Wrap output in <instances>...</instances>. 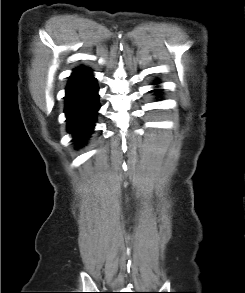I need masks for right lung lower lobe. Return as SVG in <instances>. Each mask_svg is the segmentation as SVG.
<instances>
[{
	"label": "right lung lower lobe",
	"instance_id": "obj_1",
	"mask_svg": "<svg viewBox=\"0 0 245 293\" xmlns=\"http://www.w3.org/2000/svg\"><path fill=\"white\" fill-rule=\"evenodd\" d=\"M98 86L90 69H85L70 77L66 88L65 114L67 130L73 135L77 146H81L92 134L96 122Z\"/></svg>",
	"mask_w": 245,
	"mask_h": 293
}]
</instances>
